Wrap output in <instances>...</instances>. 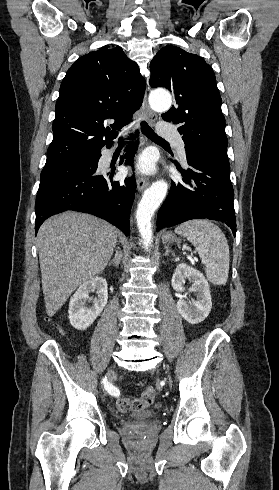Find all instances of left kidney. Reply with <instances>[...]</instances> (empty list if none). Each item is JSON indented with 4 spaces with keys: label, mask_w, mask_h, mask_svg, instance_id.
<instances>
[{
    "label": "left kidney",
    "mask_w": 279,
    "mask_h": 490,
    "mask_svg": "<svg viewBox=\"0 0 279 490\" xmlns=\"http://www.w3.org/2000/svg\"><path fill=\"white\" fill-rule=\"evenodd\" d=\"M186 280L192 282L190 292H196V300H187L188 296H180L177 310L189 324H200L209 316L212 308L210 286L203 274L187 264H178L172 276V288L175 292H184Z\"/></svg>",
    "instance_id": "left-kidney-1"
}]
</instances>
